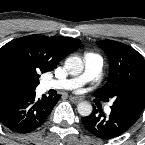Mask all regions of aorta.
I'll return each mask as SVG.
<instances>
[{
    "label": "aorta",
    "instance_id": "aorta-1",
    "mask_svg": "<svg viewBox=\"0 0 145 145\" xmlns=\"http://www.w3.org/2000/svg\"><path fill=\"white\" fill-rule=\"evenodd\" d=\"M65 67L72 75L80 74L84 69L83 61L80 57H69L65 62ZM77 110L82 116H89L92 113V106L90 103L83 101L77 106Z\"/></svg>",
    "mask_w": 145,
    "mask_h": 145
}]
</instances>
